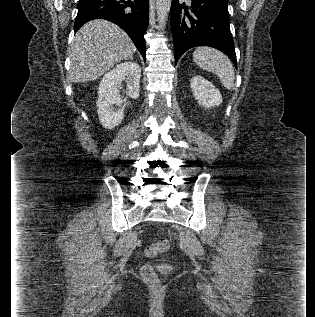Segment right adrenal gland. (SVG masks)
I'll return each mask as SVG.
<instances>
[{"label":"right adrenal gland","mask_w":315,"mask_h":317,"mask_svg":"<svg viewBox=\"0 0 315 317\" xmlns=\"http://www.w3.org/2000/svg\"><path fill=\"white\" fill-rule=\"evenodd\" d=\"M131 60H133V56L131 55L130 57H129Z\"/></svg>","instance_id":"2a0ac1e0"}]
</instances>
